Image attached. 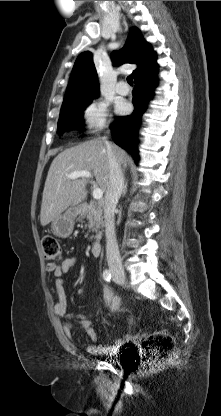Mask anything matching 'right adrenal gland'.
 Returning a JSON list of instances; mask_svg holds the SVG:
<instances>
[{
  "instance_id": "right-adrenal-gland-1",
  "label": "right adrenal gland",
  "mask_w": 221,
  "mask_h": 416,
  "mask_svg": "<svg viewBox=\"0 0 221 416\" xmlns=\"http://www.w3.org/2000/svg\"><path fill=\"white\" fill-rule=\"evenodd\" d=\"M127 186H128V180L125 181L123 191H122V197H124L125 194L127 193Z\"/></svg>"
}]
</instances>
